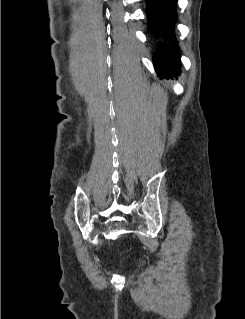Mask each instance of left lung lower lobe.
Here are the masks:
<instances>
[{"instance_id":"1","label":"left lung lower lobe","mask_w":245,"mask_h":319,"mask_svg":"<svg viewBox=\"0 0 245 319\" xmlns=\"http://www.w3.org/2000/svg\"><path fill=\"white\" fill-rule=\"evenodd\" d=\"M176 2L177 0H146L150 30L157 37L163 36L174 43H177L173 32V25L177 18ZM153 62L160 77L166 78L180 74L179 55L167 44H159Z\"/></svg>"}]
</instances>
